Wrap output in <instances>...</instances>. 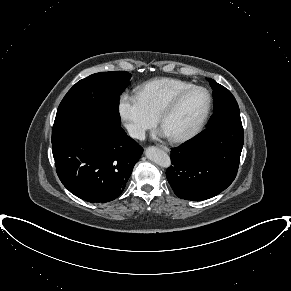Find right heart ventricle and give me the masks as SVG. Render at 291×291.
<instances>
[{
	"label": "right heart ventricle",
	"instance_id": "right-heart-ventricle-1",
	"mask_svg": "<svg viewBox=\"0 0 291 291\" xmlns=\"http://www.w3.org/2000/svg\"><path fill=\"white\" fill-rule=\"evenodd\" d=\"M192 85L181 79L160 77L140 85L136 94L146 110L157 118L162 108L175 94Z\"/></svg>",
	"mask_w": 291,
	"mask_h": 291
}]
</instances>
